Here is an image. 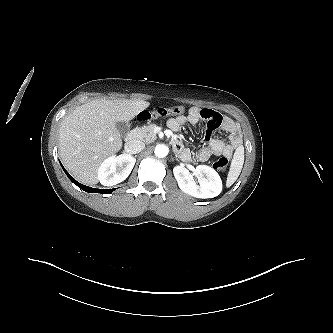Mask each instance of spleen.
I'll return each instance as SVG.
<instances>
[{"instance_id": "1", "label": "spleen", "mask_w": 333, "mask_h": 333, "mask_svg": "<svg viewBox=\"0 0 333 333\" xmlns=\"http://www.w3.org/2000/svg\"><path fill=\"white\" fill-rule=\"evenodd\" d=\"M244 164V149L238 148L233 156L227 176L226 185L230 187L239 177Z\"/></svg>"}]
</instances>
